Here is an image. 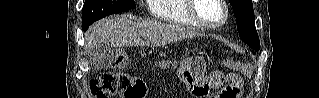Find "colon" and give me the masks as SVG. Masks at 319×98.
Listing matches in <instances>:
<instances>
[{
    "mask_svg": "<svg viewBox=\"0 0 319 98\" xmlns=\"http://www.w3.org/2000/svg\"><path fill=\"white\" fill-rule=\"evenodd\" d=\"M116 66L122 68L127 64V55L119 50L115 60ZM237 67L244 74L249 72L247 64L239 63ZM242 89V79L234 77L214 98H237ZM90 94L93 98H144L146 87L140 78L130 77L120 72L102 73L91 80L89 85Z\"/></svg>",
    "mask_w": 319,
    "mask_h": 98,
    "instance_id": "colon-1",
    "label": "colon"
}]
</instances>
